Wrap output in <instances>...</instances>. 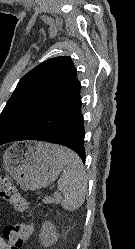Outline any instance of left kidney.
I'll return each instance as SVG.
<instances>
[{"label": "left kidney", "mask_w": 135, "mask_h": 249, "mask_svg": "<svg viewBox=\"0 0 135 249\" xmlns=\"http://www.w3.org/2000/svg\"><path fill=\"white\" fill-rule=\"evenodd\" d=\"M59 235L55 226L49 222L45 221L42 224V228L39 234V239L41 240L42 245L45 248L50 247L52 244H55L58 241Z\"/></svg>", "instance_id": "left-kidney-1"}]
</instances>
